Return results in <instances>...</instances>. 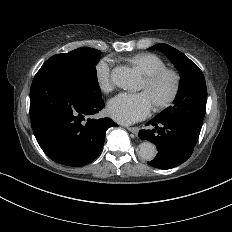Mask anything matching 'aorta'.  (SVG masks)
<instances>
[{"label":"aorta","instance_id":"762f6f07","mask_svg":"<svg viewBox=\"0 0 232 232\" xmlns=\"http://www.w3.org/2000/svg\"><path fill=\"white\" fill-rule=\"evenodd\" d=\"M111 77L118 87L124 89L134 88L139 81L137 74L125 66L114 68ZM138 153L141 159L151 161L157 154L156 146L151 142H143L139 145Z\"/></svg>","mask_w":232,"mask_h":232}]
</instances>
